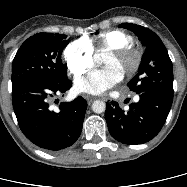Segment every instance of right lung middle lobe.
I'll return each mask as SVG.
<instances>
[{
    "instance_id": "dd1d6c3e",
    "label": "right lung middle lobe",
    "mask_w": 187,
    "mask_h": 187,
    "mask_svg": "<svg viewBox=\"0 0 187 187\" xmlns=\"http://www.w3.org/2000/svg\"><path fill=\"white\" fill-rule=\"evenodd\" d=\"M68 43L66 35L52 33H37L25 40L12 63V88L26 81H65L61 54Z\"/></svg>"
}]
</instances>
